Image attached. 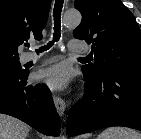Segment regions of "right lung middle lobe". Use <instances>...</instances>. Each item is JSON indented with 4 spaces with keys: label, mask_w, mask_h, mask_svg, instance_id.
Masks as SVG:
<instances>
[{
    "label": "right lung middle lobe",
    "mask_w": 141,
    "mask_h": 139,
    "mask_svg": "<svg viewBox=\"0 0 141 139\" xmlns=\"http://www.w3.org/2000/svg\"><path fill=\"white\" fill-rule=\"evenodd\" d=\"M23 72L19 57L0 56V75L8 76Z\"/></svg>",
    "instance_id": "dd1d6c3e"
}]
</instances>
